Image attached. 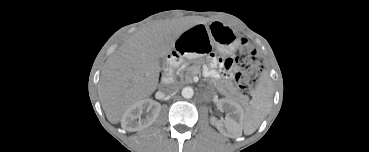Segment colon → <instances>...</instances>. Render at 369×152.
<instances>
[{
  "instance_id": "obj_1",
  "label": "colon",
  "mask_w": 369,
  "mask_h": 152,
  "mask_svg": "<svg viewBox=\"0 0 369 152\" xmlns=\"http://www.w3.org/2000/svg\"><path fill=\"white\" fill-rule=\"evenodd\" d=\"M212 66H219L225 71L236 70L235 80L244 93H248L258 82L263 72V64L256 50L247 41H242L234 58H212Z\"/></svg>"
}]
</instances>
